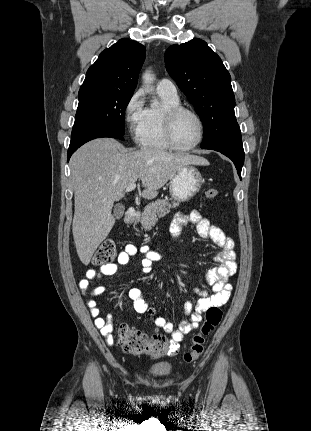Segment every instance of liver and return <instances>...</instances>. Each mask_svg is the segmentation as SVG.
Segmentation results:
<instances>
[{"instance_id": "1", "label": "liver", "mask_w": 311, "mask_h": 431, "mask_svg": "<svg viewBox=\"0 0 311 431\" xmlns=\"http://www.w3.org/2000/svg\"><path fill=\"white\" fill-rule=\"evenodd\" d=\"M183 166H209L208 160L191 154H171L158 148L130 152L113 138L84 144L70 160L75 212L72 233L84 265L110 233L114 202L124 198L130 184L141 180L142 198L153 200Z\"/></svg>"}]
</instances>
